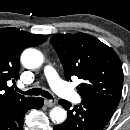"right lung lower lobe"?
I'll use <instances>...</instances> for the list:
<instances>
[{"instance_id":"right-lung-lower-lobe-1","label":"right lung lower lobe","mask_w":130,"mask_h":130,"mask_svg":"<svg viewBox=\"0 0 130 130\" xmlns=\"http://www.w3.org/2000/svg\"><path fill=\"white\" fill-rule=\"evenodd\" d=\"M43 103V98L31 97L0 106V130H23L25 113L33 108H41Z\"/></svg>"}]
</instances>
